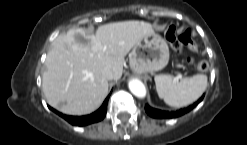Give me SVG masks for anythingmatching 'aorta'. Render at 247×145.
I'll return each mask as SVG.
<instances>
[{"label": "aorta", "instance_id": "1", "mask_svg": "<svg viewBox=\"0 0 247 145\" xmlns=\"http://www.w3.org/2000/svg\"><path fill=\"white\" fill-rule=\"evenodd\" d=\"M130 91L138 98L146 96V88L144 84L138 79H131L128 83Z\"/></svg>", "mask_w": 247, "mask_h": 145}]
</instances>
